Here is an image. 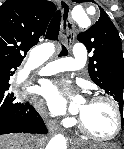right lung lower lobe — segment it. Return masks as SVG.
Masks as SVG:
<instances>
[{
    "instance_id": "98d812e1",
    "label": "right lung lower lobe",
    "mask_w": 124,
    "mask_h": 149,
    "mask_svg": "<svg viewBox=\"0 0 124 149\" xmlns=\"http://www.w3.org/2000/svg\"><path fill=\"white\" fill-rule=\"evenodd\" d=\"M18 65H0V135L9 133H37L48 132L38 112L28 103L15 100L10 91V76Z\"/></svg>"
}]
</instances>
